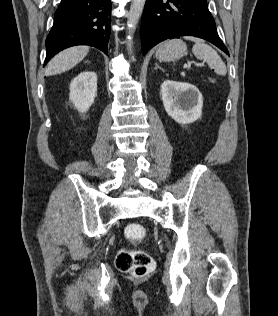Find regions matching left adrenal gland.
Returning a JSON list of instances; mask_svg holds the SVG:
<instances>
[{
	"mask_svg": "<svg viewBox=\"0 0 278 316\" xmlns=\"http://www.w3.org/2000/svg\"><path fill=\"white\" fill-rule=\"evenodd\" d=\"M156 69H161L162 71H164V69L161 68L157 63L155 64V70H156Z\"/></svg>",
	"mask_w": 278,
	"mask_h": 316,
	"instance_id": "obj_1",
	"label": "left adrenal gland"
}]
</instances>
